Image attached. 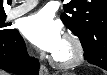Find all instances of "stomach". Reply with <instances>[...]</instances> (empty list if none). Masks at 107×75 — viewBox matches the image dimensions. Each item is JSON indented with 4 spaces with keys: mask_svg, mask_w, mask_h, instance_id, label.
I'll return each mask as SVG.
<instances>
[{
    "mask_svg": "<svg viewBox=\"0 0 107 75\" xmlns=\"http://www.w3.org/2000/svg\"><path fill=\"white\" fill-rule=\"evenodd\" d=\"M64 75H75V74H73V73H69V74H64Z\"/></svg>",
    "mask_w": 107,
    "mask_h": 75,
    "instance_id": "0dacf381",
    "label": "stomach"
}]
</instances>
